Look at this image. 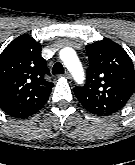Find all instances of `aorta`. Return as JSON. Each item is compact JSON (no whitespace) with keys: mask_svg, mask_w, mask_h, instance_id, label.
<instances>
[{"mask_svg":"<svg viewBox=\"0 0 135 165\" xmlns=\"http://www.w3.org/2000/svg\"><path fill=\"white\" fill-rule=\"evenodd\" d=\"M60 58L78 83L84 80V73L76 52L69 47L60 51Z\"/></svg>","mask_w":135,"mask_h":165,"instance_id":"1","label":"aorta"}]
</instances>
